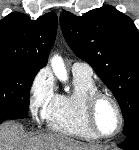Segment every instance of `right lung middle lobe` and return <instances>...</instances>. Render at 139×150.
Listing matches in <instances>:
<instances>
[{
    "label": "right lung middle lobe",
    "mask_w": 139,
    "mask_h": 150,
    "mask_svg": "<svg viewBox=\"0 0 139 150\" xmlns=\"http://www.w3.org/2000/svg\"><path fill=\"white\" fill-rule=\"evenodd\" d=\"M38 71L33 67L0 63V123L27 116L29 92Z\"/></svg>",
    "instance_id": "right-lung-middle-lobe-1"
}]
</instances>
